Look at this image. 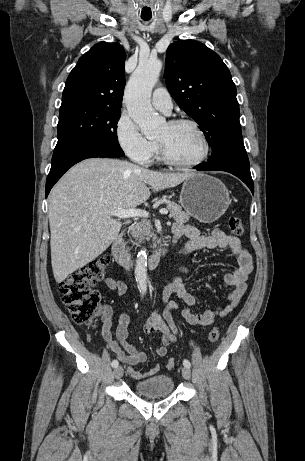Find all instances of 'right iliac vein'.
<instances>
[{
	"label": "right iliac vein",
	"instance_id": "1",
	"mask_svg": "<svg viewBox=\"0 0 305 461\" xmlns=\"http://www.w3.org/2000/svg\"><path fill=\"white\" fill-rule=\"evenodd\" d=\"M114 376L116 379H120L123 376V368L121 366L114 369Z\"/></svg>",
	"mask_w": 305,
	"mask_h": 461
}]
</instances>
